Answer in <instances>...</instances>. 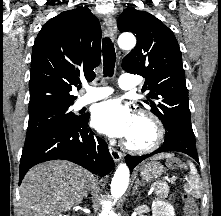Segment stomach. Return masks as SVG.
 I'll use <instances>...</instances> for the list:
<instances>
[{"instance_id":"obj_1","label":"stomach","mask_w":221,"mask_h":216,"mask_svg":"<svg viewBox=\"0 0 221 216\" xmlns=\"http://www.w3.org/2000/svg\"><path fill=\"white\" fill-rule=\"evenodd\" d=\"M163 172L164 167L157 161L145 163L140 167V176L148 182L157 180Z\"/></svg>"}]
</instances>
